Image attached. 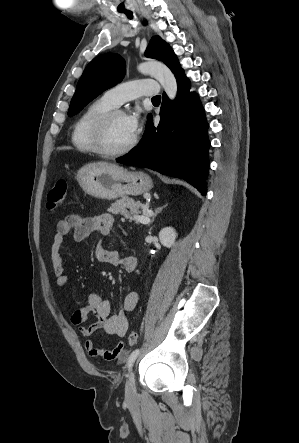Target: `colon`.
<instances>
[{
  "instance_id": "colon-1",
  "label": "colon",
  "mask_w": 299,
  "mask_h": 443,
  "mask_svg": "<svg viewBox=\"0 0 299 443\" xmlns=\"http://www.w3.org/2000/svg\"><path fill=\"white\" fill-rule=\"evenodd\" d=\"M68 189V184L65 180H58L52 189L49 191L47 196L46 207L49 212H55L59 207L62 206L66 198ZM138 334L134 331L128 334V343L130 346H134L138 342Z\"/></svg>"
}]
</instances>
